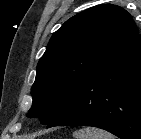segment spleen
Segmentation results:
<instances>
[{
	"mask_svg": "<svg viewBox=\"0 0 141 139\" xmlns=\"http://www.w3.org/2000/svg\"><path fill=\"white\" fill-rule=\"evenodd\" d=\"M74 139H116L112 134L94 127H86L73 133Z\"/></svg>",
	"mask_w": 141,
	"mask_h": 139,
	"instance_id": "3e777b00",
	"label": "spleen"
}]
</instances>
